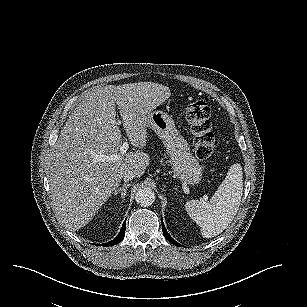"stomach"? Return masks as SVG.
I'll return each mask as SVG.
<instances>
[{
	"label": "stomach",
	"instance_id": "1",
	"mask_svg": "<svg viewBox=\"0 0 307 307\" xmlns=\"http://www.w3.org/2000/svg\"><path fill=\"white\" fill-rule=\"evenodd\" d=\"M148 127L162 140L174 176L190 185L202 179L203 168L192 155L190 145L176 128L172 116L157 110L148 115Z\"/></svg>",
	"mask_w": 307,
	"mask_h": 307
}]
</instances>
